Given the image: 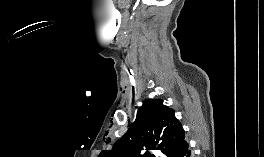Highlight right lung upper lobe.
<instances>
[{"label": "right lung upper lobe", "instance_id": "cb5924a9", "mask_svg": "<svg viewBox=\"0 0 264 157\" xmlns=\"http://www.w3.org/2000/svg\"><path fill=\"white\" fill-rule=\"evenodd\" d=\"M183 141L185 131L174 110L163 105L162 99H146L124 136L99 157H155L151 150L166 156Z\"/></svg>", "mask_w": 264, "mask_h": 157}]
</instances>
